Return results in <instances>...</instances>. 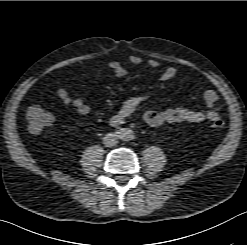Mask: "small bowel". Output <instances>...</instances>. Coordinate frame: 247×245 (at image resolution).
Here are the masks:
<instances>
[{
	"label": "small bowel",
	"mask_w": 247,
	"mask_h": 245,
	"mask_svg": "<svg viewBox=\"0 0 247 245\" xmlns=\"http://www.w3.org/2000/svg\"><path fill=\"white\" fill-rule=\"evenodd\" d=\"M131 65H139L142 59L139 56L132 55L128 58ZM148 65L152 68H158L160 63L157 59H149ZM107 67L111 69L115 76L124 78L128 71L119 61H110ZM177 75L174 67H166L161 75L163 81H170ZM58 97L66 107H73L76 111L86 116L90 113V106L82 99L73 97L70 92L61 87L57 91ZM151 98L149 93L134 94L126 98L120 105L117 112L112 116L111 123L114 125L122 123L130 117L136 109L145 101ZM204 102L209 108L207 111H198L185 107L168 108L164 110H147L144 113V121L151 127H159L168 123H200L203 121L213 122L220 118L221 105L219 96L214 90H206L203 95Z\"/></svg>",
	"instance_id": "small-bowel-1"
}]
</instances>
